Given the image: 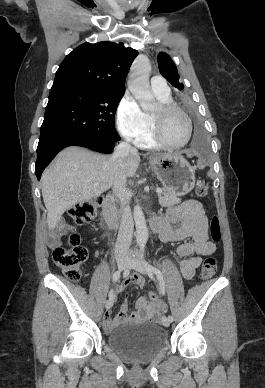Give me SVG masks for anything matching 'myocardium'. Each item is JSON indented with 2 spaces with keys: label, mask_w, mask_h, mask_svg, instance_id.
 Masks as SVG:
<instances>
[{
  "label": "myocardium",
  "mask_w": 265,
  "mask_h": 388,
  "mask_svg": "<svg viewBox=\"0 0 265 388\" xmlns=\"http://www.w3.org/2000/svg\"><path fill=\"white\" fill-rule=\"evenodd\" d=\"M151 86L152 85H150V89L153 92H155V91H168V90H152ZM158 106H159V110L162 112L174 110V111L179 112L183 116L184 122H185V139L182 143L177 144V145H173V144L168 143L161 134L157 116L155 114H152V116H151L152 130H153V135H154L155 140L161 146L166 147V148H170V149H179V148L184 147L188 143V141L190 140L191 133H192V123H191V119H190L189 115L181 107H179L173 103H160Z\"/></svg>",
  "instance_id": "myocardium-1"
}]
</instances>
